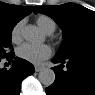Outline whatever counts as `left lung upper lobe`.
Here are the masks:
<instances>
[{"mask_svg":"<svg viewBox=\"0 0 95 95\" xmlns=\"http://www.w3.org/2000/svg\"><path fill=\"white\" fill-rule=\"evenodd\" d=\"M34 12L49 15L64 32L58 57L72 58L95 54V12L81 5L66 3L57 6H38Z\"/></svg>","mask_w":95,"mask_h":95,"instance_id":"1","label":"left lung upper lobe"}]
</instances>
